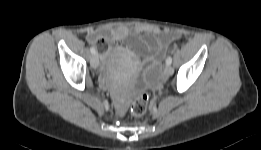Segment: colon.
<instances>
[{
  "instance_id": "1",
  "label": "colon",
  "mask_w": 261,
  "mask_h": 150,
  "mask_svg": "<svg viewBox=\"0 0 261 150\" xmlns=\"http://www.w3.org/2000/svg\"><path fill=\"white\" fill-rule=\"evenodd\" d=\"M149 95L147 92L139 93L131 104V114L135 117L143 116L147 111Z\"/></svg>"
}]
</instances>
